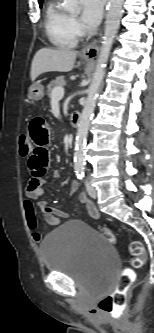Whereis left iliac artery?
Segmentation results:
<instances>
[{"label":"left iliac artery","instance_id":"left-iliac-artery-1","mask_svg":"<svg viewBox=\"0 0 154 333\" xmlns=\"http://www.w3.org/2000/svg\"><path fill=\"white\" fill-rule=\"evenodd\" d=\"M75 172L78 179L82 180L84 178L85 173L83 168H77Z\"/></svg>","mask_w":154,"mask_h":333}]
</instances>
